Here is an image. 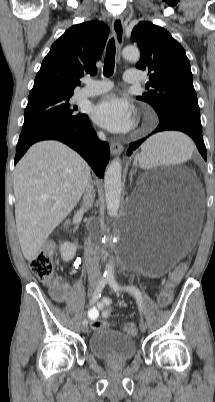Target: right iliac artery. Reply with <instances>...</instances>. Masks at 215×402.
Instances as JSON below:
<instances>
[{"instance_id":"right-iliac-artery-1","label":"right iliac artery","mask_w":215,"mask_h":402,"mask_svg":"<svg viewBox=\"0 0 215 402\" xmlns=\"http://www.w3.org/2000/svg\"><path fill=\"white\" fill-rule=\"evenodd\" d=\"M107 281H108V278H105V277L101 278V280L99 281V283L93 293V296L90 300V305H93L101 297L102 291H103ZM82 323H83V325H87L88 322L86 319H84Z\"/></svg>"}]
</instances>
